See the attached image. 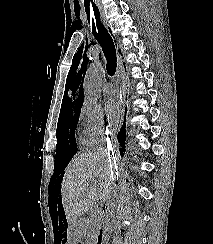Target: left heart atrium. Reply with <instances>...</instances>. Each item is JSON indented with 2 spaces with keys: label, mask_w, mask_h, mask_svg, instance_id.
Listing matches in <instances>:
<instances>
[{
  "label": "left heart atrium",
  "mask_w": 213,
  "mask_h": 244,
  "mask_svg": "<svg viewBox=\"0 0 213 244\" xmlns=\"http://www.w3.org/2000/svg\"><path fill=\"white\" fill-rule=\"evenodd\" d=\"M106 117L110 124L118 122L121 116L120 103L116 99H108L105 103Z\"/></svg>",
  "instance_id": "left-heart-atrium-1"
}]
</instances>
